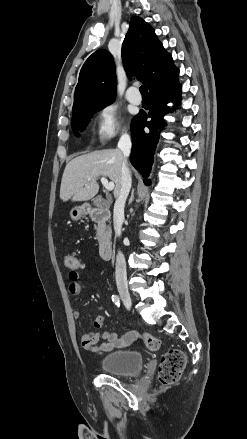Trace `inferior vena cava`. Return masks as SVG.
Instances as JSON below:
<instances>
[{
    "label": "inferior vena cava",
    "mask_w": 247,
    "mask_h": 439,
    "mask_svg": "<svg viewBox=\"0 0 247 439\" xmlns=\"http://www.w3.org/2000/svg\"><path fill=\"white\" fill-rule=\"evenodd\" d=\"M131 146L132 143L130 136L127 133L122 134L118 142V149L121 150L124 156L121 165V189L113 210V223L116 237L121 236L122 223L124 221L125 202L132 183L131 174L127 163V157L130 155ZM115 277L118 289L127 288L126 263L125 257L121 251H118L116 256Z\"/></svg>",
    "instance_id": "inferior-vena-cava-1"
}]
</instances>
